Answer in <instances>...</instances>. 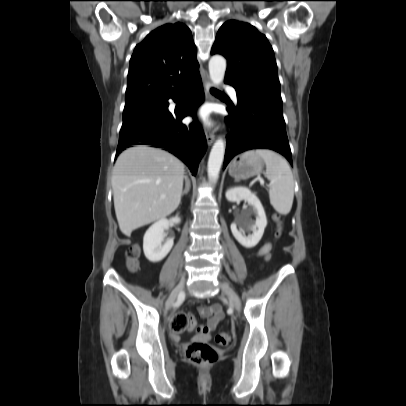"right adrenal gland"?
Masks as SVG:
<instances>
[{"label": "right adrenal gland", "mask_w": 406, "mask_h": 406, "mask_svg": "<svg viewBox=\"0 0 406 406\" xmlns=\"http://www.w3.org/2000/svg\"><path fill=\"white\" fill-rule=\"evenodd\" d=\"M185 180H186V186H185V189L183 190L181 196H184V195L187 194V193L189 192V190H190V180H189L188 177H186Z\"/></svg>", "instance_id": "1"}]
</instances>
